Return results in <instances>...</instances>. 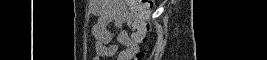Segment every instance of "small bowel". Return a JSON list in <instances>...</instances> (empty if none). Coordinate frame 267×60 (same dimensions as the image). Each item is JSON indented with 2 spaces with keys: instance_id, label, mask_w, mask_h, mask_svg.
<instances>
[{
  "instance_id": "1",
  "label": "small bowel",
  "mask_w": 267,
  "mask_h": 60,
  "mask_svg": "<svg viewBox=\"0 0 267 60\" xmlns=\"http://www.w3.org/2000/svg\"><path fill=\"white\" fill-rule=\"evenodd\" d=\"M91 10L98 17L92 27L96 56L94 60L112 57L117 54L118 60H131L135 57V50L144 42L142 31L137 29L132 13L128 10L124 0H93ZM114 26L118 32L116 44L112 43ZM123 49L119 51V47Z\"/></svg>"
}]
</instances>
